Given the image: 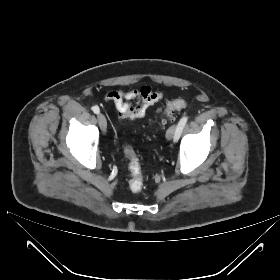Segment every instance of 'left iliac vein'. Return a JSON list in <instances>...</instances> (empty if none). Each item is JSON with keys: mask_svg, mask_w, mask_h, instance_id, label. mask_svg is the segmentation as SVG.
Returning a JSON list of instances; mask_svg holds the SVG:
<instances>
[{"mask_svg": "<svg viewBox=\"0 0 280 280\" xmlns=\"http://www.w3.org/2000/svg\"><path fill=\"white\" fill-rule=\"evenodd\" d=\"M177 130V125H172L166 132V139L171 140L174 138Z\"/></svg>", "mask_w": 280, "mask_h": 280, "instance_id": "obj_1", "label": "left iliac vein"}]
</instances>
